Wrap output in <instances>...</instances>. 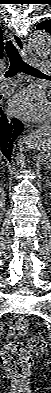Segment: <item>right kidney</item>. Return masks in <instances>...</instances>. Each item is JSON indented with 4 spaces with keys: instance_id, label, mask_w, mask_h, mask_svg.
I'll use <instances>...</instances> for the list:
<instances>
[{
    "instance_id": "right-kidney-1",
    "label": "right kidney",
    "mask_w": 51,
    "mask_h": 393,
    "mask_svg": "<svg viewBox=\"0 0 51 393\" xmlns=\"http://www.w3.org/2000/svg\"><path fill=\"white\" fill-rule=\"evenodd\" d=\"M0 206L1 208H3V206L5 205V197H4V191L1 190V195H0Z\"/></svg>"
}]
</instances>
